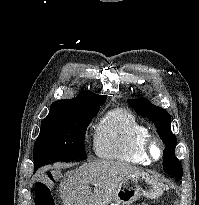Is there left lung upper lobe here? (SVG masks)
<instances>
[{"mask_svg":"<svg viewBox=\"0 0 199 205\" xmlns=\"http://www.w3.org/2000/svg\"><path fill=\"white\" fill-rule=\"evenodd\" d=\"M127 102L136 113L142 117L149 118L155 123L157 133L166 145L163 152V169L166 173L176 177L177 181L181 180L183 174L182 165L175 156L177 140L171 131V116L169 113L165 109L155 106L146 98L129 99Z\"/></svg>","mask_w":199,"mask_h":205,"instance_id":"obj_1","label":"left lung upper lobe"}]
</instances>
